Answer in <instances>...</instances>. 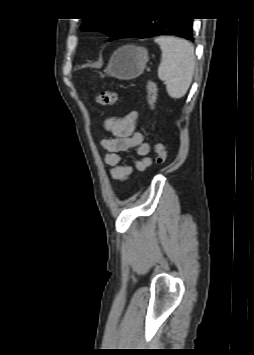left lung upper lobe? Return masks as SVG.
I'll return each mask as SVG.
<instances>
[{
  "mask_svg": "<svg viewBox=\"0 0 254 355\" xmlns=\"http://www.w3.org/2000/svg\"><path fill=\"white\" fill-rule=\"evenodd\" d=\"M133 18L127 19H91L84 20L81 29L84 31H101L107 34L110 38L109 40L118 39L130 25Z\"/></svg>",
  "mask_w": 254,
  "mask_h": 355,
  "instance_id": "5c2ea615",
  "label": "left lung upper lobe"
}]
</instances>
